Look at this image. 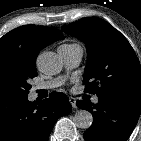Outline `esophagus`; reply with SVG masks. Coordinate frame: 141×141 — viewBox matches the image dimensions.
<instances>
[{
  "mask_svg": "<svg viewBox=\"0 0 141 141\" xmlns=\"http://www.w3.org/2000/svg\"><path fill=\"white\" fill-rule=\"evenodd\" d=\"M69 102L73 108L77 107L75 98L69 97Z\"/></svg>",
  "mask_w": 141,
  "mask_h": 141,
  "instance_id": "esophagus-1",
  "label": "esophagus"
}]
</instances>
